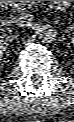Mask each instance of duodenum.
I'll list each match as a JSON object with an SVG mask.
<instances>
[{
  "mask_svg": "<svg viewBox=\"0 0 74 122\" xmlns=\"http://www.w3.org/2000/svg\"><path fill=\"white\" fill-rule=\"evenodd\" d=\"M3 4L8 5L11 1H2Z\"/></svg>",
  "mask_w": 74,
  "mask_h": 122,
  "instance_id": "1",
  "label": "duodenum"
}]
</instances>
